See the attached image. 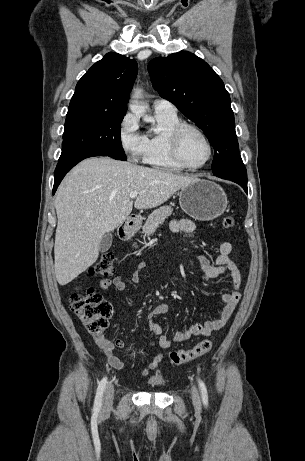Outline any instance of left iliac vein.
<instances>
[{
    "mask_svg": "<svg viewBox=\"0 0 305 461\" xmlns=\"http://www.w3.org/2000/svg\"><path fill=\"white\" fill-rule=\"evenodd\" d=\"M191 398L195 408L199 409L201 407L200 396L197 388L195 386L191 389Z\"/></svg>",
    "mask_w": 305,
    "mask_h": 461,
    "instance_id": "4c4485c4",
    "label": "left iliac vein"
}]
</instances>
